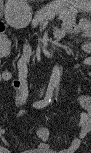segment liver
Returning <instances> with one entry per match:
<instances>
[{
    "mask_svg": "<svg viewBox=\"0 0 91 153\" xmlns=\"http://www.w3.org/2000/svg\"><path fill=\"white\" fill-rule=\"evenodd\" d=\"M62 1H58V4H61Z\"/></svg>",
    "mask_w": 91,
    "mask_h": 153,
    "instance_id": "obj_1",
    "label": "liver"
}]
</instances>
